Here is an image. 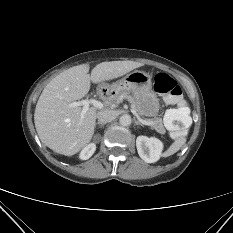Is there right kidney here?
I'll return each instance as SVG.
<instances>
[{
  "mask_svg": "<svg viewBox=\"0 0 233 233\" xmlns=\"http://www.w3.org/2000/svg\"><path fill=\"white\" fill-rule=\"evenodd\" d=\"M95 150L96 145L94 143H90L81 151L79 158L81 160H87L94 154Z\"/></svg>",
  "mask_w": 233,
  "mask_h": 233,
  "instance_id": "ca27d5eb",
  "label": "right kidney"
}]
</instances>
